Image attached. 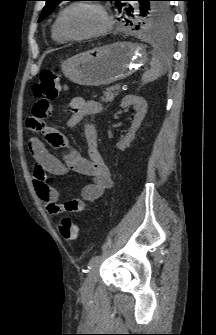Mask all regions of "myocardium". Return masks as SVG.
Masks as SVG:
<instances>
[{"instance_id": "myocardium-1", "label": "myocardium", "mask_w": 216, "mask_h": 335, "mask_svg": "<svg viewBox=\"0 0 216 335\" xmlns=\"http://www.w3.org/2000/svg\"><path fill=\"white\" fill-rule=\"evenodd\" d=\"M81 5H87V6H92L95 9H97L101 15L103 16V18L105 19V25L102 29H99L97 31L91 32V33H87V34H82V35H71L69 33H67L62 25V19L64 17V15L72 8L76 7V6H81ZM114 26V20L113 18L110 16V14L108 13V11L106 10V8L97 3V2H88V1H77V2H72L71 4H69L68 6H66L59 14L58 17L56 19V27L58 32L60 33V35L66 39V40H71V41H80V40H87V39H94L97 37H101L106 35L107 33H109L112 28Z\"/></svg>"}]
</instances>
